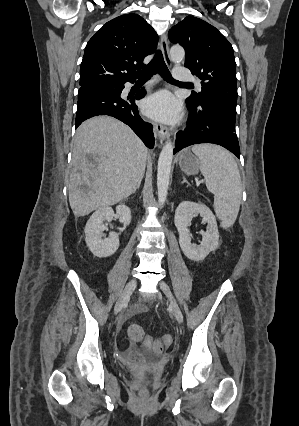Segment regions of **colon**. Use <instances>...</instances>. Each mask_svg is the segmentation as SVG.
I'll list each match as a JSON object with an SVG mask.
<instances>
[{
    "instance_id": "5ec220e1",
    "label": "colon",
    "mask_w": 299,
    "mask_h": 426,
    "mask_svg": "<svg viewBox=\"0 0 299 426\" xmlns=\"http://www.w3.org/2000/svg\"><path fill=\"white\" fill-rule=\"evenodd\" d=\"M128 337L131 341L139 343L142 342L143 345L156 352L161 353L165 351L172 344V337L170 335H164L160 338H150L147 337L144 333L143 328L138 324H131L128 327ZM148 391L146 388L140 390V396L142 398L147 397Z\"/></svg>"
}]
</instances>
